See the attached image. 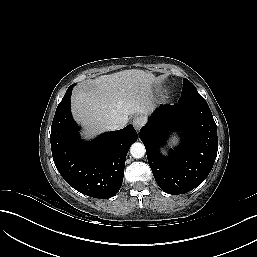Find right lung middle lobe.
Listing matches in <instances>:
<instances>
[{"mask_svg":"<svg viewBox=\"0 0 257 257\" xmlns=\"http://www.w3.org/2000/svg\"><path fill=\"white\" fill-rule=\"evenodd\" d=\"M70 87H71V90H72L73 86H70ZM70 96H71V93L67 91V92L65 93V95H64V97H63V99H62V101L59 103V105L62 104V103H64V102H66L68 99H70ZM59 105H58V106H59Z\"/></svg>","mask_w":257,"mask_h":257,"instance_id":"right-lung-middle-lobe-1","label":"right lung middle lobe"}]
</instances>
